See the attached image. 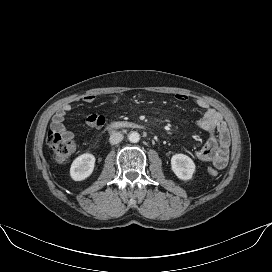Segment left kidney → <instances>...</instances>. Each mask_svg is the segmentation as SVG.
Here are the masks:
<instances>
[{"instance_id":"left-kidney-1","label":"left kidney","mask_w":272,"mask_h":272,"mask_svg":"<svg viewBox=\"0 0 272 272\" xmlns=\"http://www.w3.org/2000/svg\"><path fill=\"white\" fill-rule=\"evenodd\" d=\"M195 163L184 154H175L171 158V169L181 180H189L195 172Z\"/></svg>"}]
</instances>
